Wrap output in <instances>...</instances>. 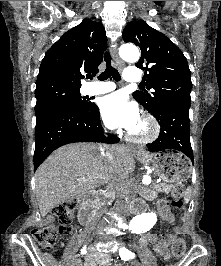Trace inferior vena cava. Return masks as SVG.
I'll return each instance as SVG.
<instances>
[{
    "instance_id": "1",
    "label": "inferior vena cava",
    "mask_w": 221,
    "mask_h": 266,
    "mask_svg": "<svg viewBox=\"0 0 221 266\" xmlns=\"http://www.w3.org/2000/svg\"><path fill=\"white\" fill-rule=\"evenodd\" d=\"M113 147V146H112ZM101 154L109 161L114 160V152L109 146H100ZM115 188L117 192H123L126 188V177H116L115 178Z\"/></svg>"
}]
</instances>
